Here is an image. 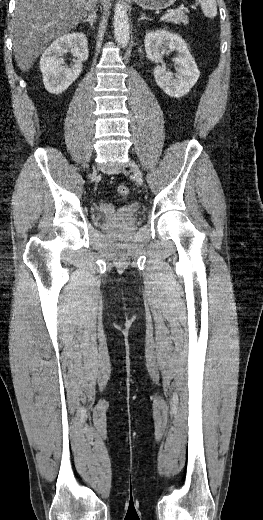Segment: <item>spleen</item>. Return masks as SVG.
I'll list each match as a JSON object with an SVG mask.
<instances>
[{
    "mask_svg": "<svg viewBox=\"0 0 263 520\" xmlns=\"http://www.w3.org/2000/svg\"><path fill=\"white\" fill-rule=\"evenodd\" d=\"M202 8L203 14L208 18H214L217 14L216 0H197Z\"/></svg>",
    "mask_w": 263,
    "mask_h": 520,
    "instance_id": "1",
    "label": "spleen"
}]
</instances>
